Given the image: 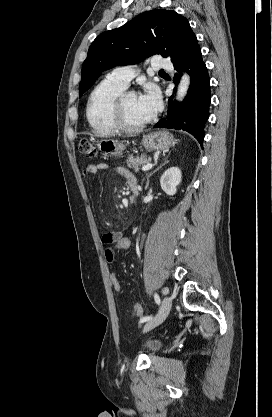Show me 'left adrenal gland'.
Masks as SVG:
<instances>
[{
	"label": "left adrenal gland",
	"instance_id": "obj_1",
	"mask_svg": "<svg viewBox=\"0 0 272 417\" xmlns=\"http://www.w3.org/2000/svg\"><path fill=\"white\" fill-rule=\"evenodd\" d=\"M169 161L167 160V159H165V162L162 164V165H160L153 173H155V172H157L159 169H161L164 165H166L167 163H168ZM153 173H150L148 176H147V182H146V186H145V189H147L148 188V185H149V178H150V176H152V174Z\"/></svg>",
	"mask_w": 272,
	"mask_h": 417
}]
</instances>
